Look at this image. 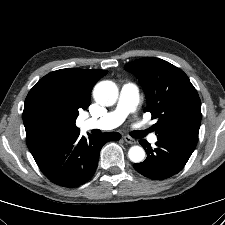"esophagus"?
<instances>
[{
	"label": "esophagus",
	"mask_w": 225,
	"mask_h": 225,
	"mask_svg": "<svg viewBox=\"0 0 225 225\" xmlns=\"http://www.w3.org/2000/svg\"><path fill=\"white\" fill-rule=\"evenodd\" d=\"M123 139L128 144H136V140L131 138L130 136H124Z\"/></svg>",
	"instance_id": "34e87169"
}]
</instances>
